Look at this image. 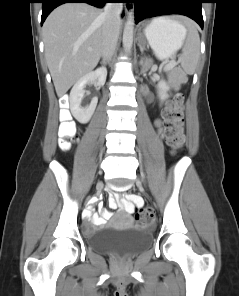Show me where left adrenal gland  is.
<instances>
[{
  "mask_svg": "<svg viewBox=\"0 0 239 296\" xmlns=\"http://www.w3.org/2000/svg\"><path fill=\"white\" fill-rule=\"evenodd\" d=\"M138 46H139V48H140V51L143 52V50H144V46L141 45L140 42L138 43ZM140 63L142 64V62H140Z\"/></svg>",
  "mask_w": 239,
  "mask_h": 296,
  "instance_id": "obj_1",
  "label": "left adrenal gland"
}]
</instances>
